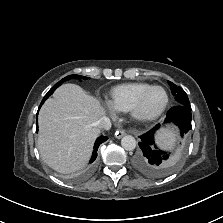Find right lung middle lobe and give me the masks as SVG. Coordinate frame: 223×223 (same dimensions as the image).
I'll return each instance as SVG.
<instances>
[{"label": "right lung middle lobe", "mask_w": 223, "mask_h": 223, "mask_svg": "<svg viewBox=\"0 0 223 223\" xmlns=\"http://www.w3.org/2000/svg\"><path fill=\"white\" fill-rule=\"evenodd\" d=\"M70 79H78V80H87L89 79L88 77L85 76H80V75H69L66 76L65 78H63L61 81H59L57 84H55L49 91L48 93L45 95L44 98H48L51 94H53V92L64 82Z\"/></svg>", "instance_id": "dd1d6c3e"}]
</instances>
